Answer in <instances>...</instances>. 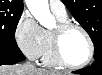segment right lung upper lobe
Instances as JSON below:
<instances>
[{"label":"right lung upper lobe","mask_w":102,"mask_h":75,"mask_svg":"<svg viewBox=\"0 0 102 75\" xmlns=\"http://www.w3.org/2000/svg\"><path fill=\"white\" fill-rule=\"evenodd\" d=\"M0 5L23 9V0H0Z\"/></svg>","instance_id":"obj_1"}]
</instances>
